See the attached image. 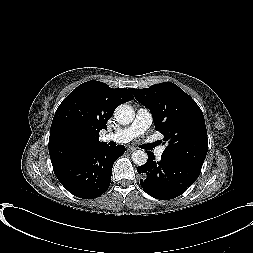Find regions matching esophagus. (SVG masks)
I'll return each instance as SVG.
<instances>
[{
    "instance_id": "obj_1",
    "label": "esophagus",
    "mask_w": 253,
    "mask_h": 253,
    "mask_svg": "<svg viewBox=\"0 0 253 253\" xmlns=\"http://www.w3.org/2000/svg\"><path fill=\"white\" fill-rule=\"evenodd\" d=\"M137 148L136 147H133V146H129L127 148L128 151L132 152V151H135Z\"/></svg>"
}]
</instances>
